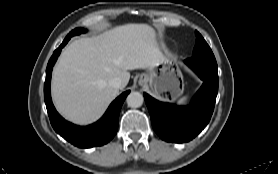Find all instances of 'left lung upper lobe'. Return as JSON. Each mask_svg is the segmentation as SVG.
Instances as JSON below:
<instances>
[{
	"instance_id": "5c2ea615",
	"label": "left lung upper lobe",
	"mask_w": 278,
	"mask_h": 174,
	"mask_svg": "<svg viewBox=\"0 0 278 174\" xmlns=\"http://www.w3.org/2000/svg\"><path fill=\"white\" fill-rule=\"evenodd\" d=\"M195 34L196 44L193 50L192 58L202 60L211 66L217 67V62L211 48L199 32L196 31Z\"/></svg>"
}]
</instances>
